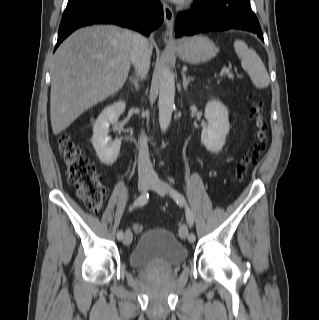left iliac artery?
<instances>
[{"label":"left iliac artery","instance_id":"obj_1","mask_svg":"<svg viewBox=\"0 0 319 320\" xmlns=\"http://www.w3.org/2000/svg\"><path fill=\"white\" fill-rule=\"evenodd\" d=\"M172 196L177 202L184 203L186 205V219H187L188 224L190 226H192L194 223V216H193L192 211L187 206V203H186L184 196L178 192H173ZM195 239H196V237H195L194 233H190L188 236L189 242L193 243L195 241Z\"/></svg>","mask_w":319,"mask_h":320}]
</instances>
